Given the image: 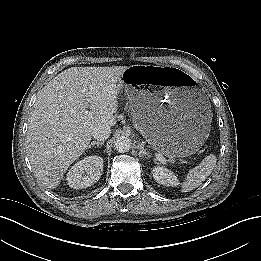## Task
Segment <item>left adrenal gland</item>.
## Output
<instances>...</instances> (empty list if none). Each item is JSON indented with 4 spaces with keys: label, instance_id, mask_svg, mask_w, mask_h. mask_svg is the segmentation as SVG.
Instances as JSON below:
<instances>
[{
    "label": "left adrenal gland",
    "instance_id": "left-adrenal-gland-1",
    "mask_svg": "<svg viewBox=\"0 0 261 261\" xmlns=\"http://www.w3.org/2000/svg\"><path fill=\"white\" fill-rule=\"evenodd\" d=\"M137 148L139 149V157L141 158L144 156H147L148 158L151 157V155L148 152H146V149L142 144H138Z\"/></svg>",
    "mask_w": 261,
    "mask_h": 261
}]
</instances>
